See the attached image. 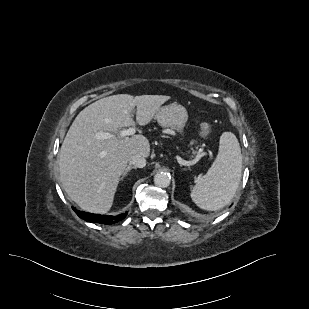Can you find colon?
<instances>
[{
  "instance_id": "obj_1",
  "label": "colon",
  "mask_w": 309,
  "mask_h": 309,
  "mask_svg": "<svg viewBox=\"0 0 309 309\" xmlns=\"http://www.w3.org/2000/svg\"><path fill=\"white\" fill-rule=\"evenodd\" d=\"M212 128L210 124L203 123L200 127V133L203 137H208L211 134Z\"/></svg>"
}]
</instances>
